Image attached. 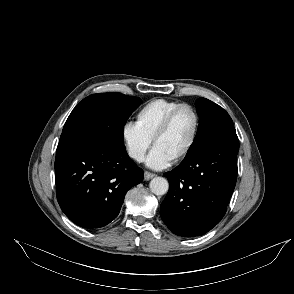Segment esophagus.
<instances>
[{
    "mask_svg": "<svg viewBox=\"0 0 294 294\" xmlns=\"http://www.w3.org/2000/svg\"><path fill=\"white\" fill-rule=\"evenodd\" d=\"M155 176H156V175L153 174V173H151V172H148V171H145V172H144V179H145L146 181L152 179V178L155 177Z\"/></svg>",
    "mask_w": 294,
    "mask_h": 294,
    "instance_id": "esophagus-1",
    "label": "esophagus"
}]
</instances>
